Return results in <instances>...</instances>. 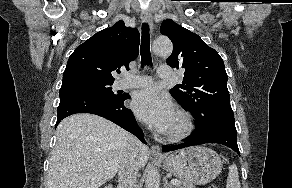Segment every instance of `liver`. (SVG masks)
<instances>
[{"instance_id": "obj_1", "label": "liver", "mask_w": 292, "mask_h": 188, "mask_svg": "<svg viewBox=\"0 0 292 188\" xmlns=\"http://www.w3.org/2000/svg\"><path fill=\"white\" fill-rule=\"evenodd\" d=\"M56 136L47 188H99L116 175L132 137L114 123L88 113L62 120ZM148 159V149L143 146L139 167Z\"/></svg>"}]
</instances>
